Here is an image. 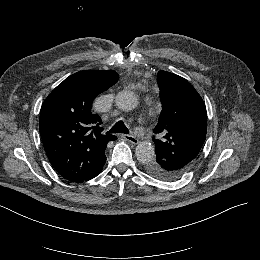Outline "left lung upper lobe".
Instances as JSON below:
<instances>
[{
	"label": "left lung upper lobe",
	"instance_id": "obj_1",
	"mask_svg": "<svg viewBox=\"0 0 260 260\" xmlns=\"http://www.w3.org/2000/svg\"><path fill=\"white\" fill-rule=\"evenodd\" d=\"M157 80L163 110L154 132L164 136L153 139L156 160L146 170L157 178L175 180L199 156L206 138L207 113L201 96L184 78L159 71Z\"/></svg>",
	"mask_w": 260,
	"mask_h": 260
}]
</instances>
